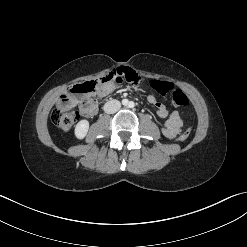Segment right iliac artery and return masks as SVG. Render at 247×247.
<instances>
[{
  "instance_id": "1",
  "label": "right iliac artery",
  "mask_w": 247,
  "mask_h": 247,
  "mask_svg": "<svg viewBox=\"0 0 247 247\" xmlns=\"http://www.w3.org/2000/svg\"><path fill=\"white\" fill-rule=\"evenodd\" d=\"M122 104H123V105H127V104H128V100H127V99H123V100H122Z\"/></svg>"
}]
</instances>
